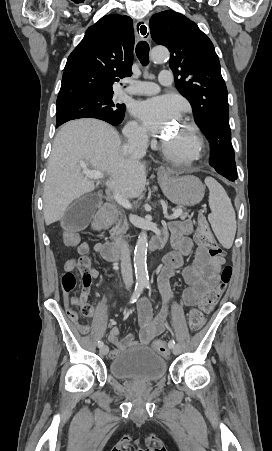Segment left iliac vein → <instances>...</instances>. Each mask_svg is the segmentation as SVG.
Listing matches in <instances>:
<instances>
[{
  "mask_svg": "<svg viewBox=\"0 0 272 451\" xmlns=\"http://www.w3.org/2000/svg\"><path fill=\"white\" fill-rule=\"evenodd\" d=\"M179 352H180V348H179L178 345H176V346L174 347V349H173V354H174V355H177V354H179Z\"/></svg>",
  "mask_w": 272,
  "mask_h": 451,
  "instance_id": "4c4485c4",
  "label": "left iliac vein"
}]
</instances>
